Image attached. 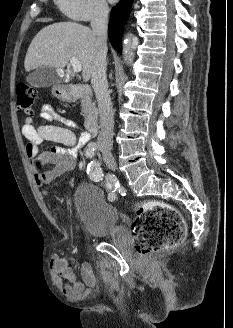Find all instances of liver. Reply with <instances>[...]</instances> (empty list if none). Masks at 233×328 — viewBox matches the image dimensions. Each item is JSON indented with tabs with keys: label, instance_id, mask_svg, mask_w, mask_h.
<instances>
[{
	"label": "liver",
	"instance_id": "liver-1",
	"mask_svg": "<svg viewBox=\"0 0 233 328\" xmlns=\"http://www.w3.org/2000/svg\"><path fill=\"white\" fill-rule=\"evenodd\" d=\"M98 50L97 36L89 27L76 22L51 24L37 33L29 45L24 67L27 72L41 66L64 68L71 57H76L82 66L86 82Z\"/></svg>",
	"mask_w": 233,
	"mask_h": 328
}]
</instances>
